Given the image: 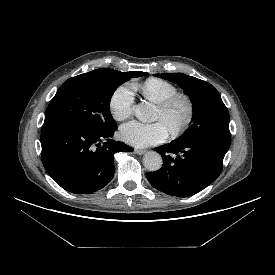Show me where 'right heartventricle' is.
Masks as SVG:
<instances>
[{
  "mask_svg": "<svg viewBox=\"0 0 275 275\" xmlns=\"http://www.w3.org/2000/svg\"><path fill=\"white\" fill-rule=\"evenodd\" d=\"M141 90L146 99L156 104H160L169 97L178 93V89L175 85L160 78L147 79L143 83Z\"/></svg>",
  "mask_w": 275,
  "mask_h": 275,
  "instance_id": "obj_1",
  "label": "right heart ventricle"
}]
</instances>
